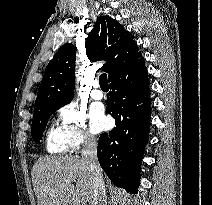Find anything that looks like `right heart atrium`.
<instances>
[{"label": "right heart atrium", "instance_id": "obj_1", "mask_svg": "<svg viewBox=\"0 0 212 205\" xmlns=\"http://www.w3.org/2000/svg\"><path fill=\"white\" fill-rule=\"evenodd\" d=\"M58 131L69 150H77L84 145H92L95 138L87 123L83 109L73 103L58 110Z\"/></svg>", "mask_w": 212, "mask_h": 205}]
</instances>
